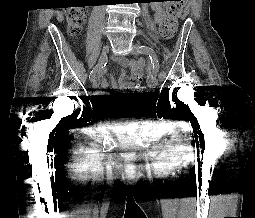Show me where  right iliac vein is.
Returning <instances> with one entry per match:
<instances>
[{
  "label": "right iliac vein",
  "instance_id": "right-iliac-vein-1",
  "mask_svg": "<svg viewBox=\"0 0 255 218\" xmlns=\"http://www.w3.org/2000/svg\"><path fill=\"white\" fill-rule=\"evenodd\" d=\"M109 51V45H105L102 49V52H101V55H100V59H99V63L98 64H101L103 62H105V59H106V55ZM91 84H92V87L93 88H97L98 85H99V79L94 76L92 79H91Z\"/></svg>",
  "mask_w": 255,
  "mask_h": 218
}]
</instances>
